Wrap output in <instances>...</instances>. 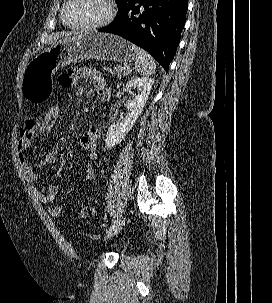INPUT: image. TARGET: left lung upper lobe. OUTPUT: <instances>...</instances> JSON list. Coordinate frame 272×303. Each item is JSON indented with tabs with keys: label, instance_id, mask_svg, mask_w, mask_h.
<instances>
[{
	"label": "left lung upper lobe",
	"instance_id": "obj_1",
	"mask_svg": "<svg viewBox=\"0 0 272 303\" xmlns=\"http://www.w3.org/2000/svg\"><path fill=\"white\" fill-rule=\"evenodd\" d=\"M138 0H116L119 6L117 18L124 15L126 11L132 7Z\"/></svg>",
	"mask_w": 272,
	"mask_h": 303
}]
</instances>
